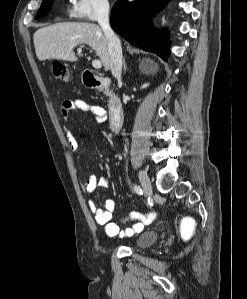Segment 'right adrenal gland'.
<instances>
[{
	"label": "right adrenal gland",
	"mask_w": 247,
	"mask_h": 299,
	"mask_svg": "<svg viewBox=\"0 0 247 299\" xmlns=\"http://www.w3.org/2000/svg\"><path fill=\"white\" fill-rule=\"evenodd\" d=\"M123 65H124V73L126 72L127 70V66H126V61H125V58L123 59Z\"/></svg>",
	"instance_id": "1"
}]
</instances>
